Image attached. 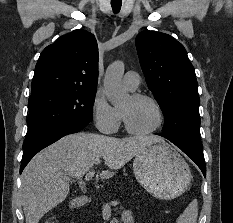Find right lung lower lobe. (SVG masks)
<instances>
[{
    "label": "right lung lower lobe",
    "mask_w": 233,
    "mask_h": 223,
    "mask_svg": "<svg viewBox=\"0 0 233 223\" xmlns=\"http://www.w3.org/2000/svg\"><path fill=\"white\" fill-rule=\"evenodd\" d=\"M88 123L89 122L82 121V120L70 121V122L64 123L60 127L47 133L42 138L38 139L33 144H31L29 147L24 149L21 167H20V173L23 171V169L28 164V162L32 159V157L35 154H37L40 150L56 142L57 140H59L65 135L79 132L85 126H87Z\"/></svg>",
    "instance_id": "obj_1"
}]
</instances>
